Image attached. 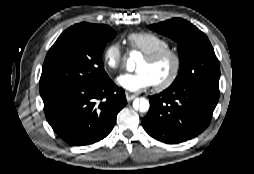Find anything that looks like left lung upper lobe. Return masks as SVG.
I'll return each instance as SVG.
<instances>
[{
  "instance_id": "obj_1",
  "label": "left lung upper lobe",
  "mask_w": 254,
  "mask_h": 174,
  "mask_svg": "<svg viewBox=\"0 0 254 174\" xmlns=\"http://www.w3.org/2000/svg\"><path fill=\"white\" fill-rule=\"evenodd\" d=\"M149 28L178 43L179 75L170 87L197 82L219 83L220 68L207 36L190 22L174 18L150 25Z\"/></svg>"
}]
</instances>
